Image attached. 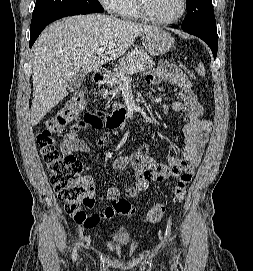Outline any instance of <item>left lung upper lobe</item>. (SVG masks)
<instances>
[{
  "instance_id": "left-lung-upper-lobe-1",
  "label": "left lung upper lobe",
  "mask_w": 253,
  "mask_h": 271,
  "mask_svg": "<svg viewBox=\"0 0 253 271\" xmlns=\"http://www.w3.org/2000/svg\"><path fill=\"white\" fill-rule=\"evenodd\" d=\"M186 6L187 15L183 22V28L216 26L211 0H187Z\"/></svg>"
}]
</instances>
